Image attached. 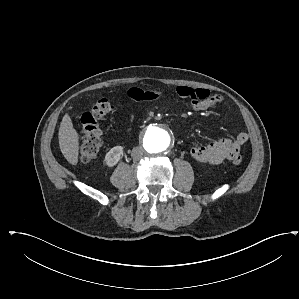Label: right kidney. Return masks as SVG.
<instances>
[{"instance_id":"obj_1","label":"right kidney","mask_w":299,"mask_h":299,"mask_svg":"<svg viewBox=\"0 0 299 299\" xmlns=\"http://www.w3.org/2000/svg\"><path fill=\"white\" fill-rule=\"evenodd\" d=\"M123 156V147L115 146L105 155L104 161L109 167L115 166Z\"/></svg>"}]
</instances>
